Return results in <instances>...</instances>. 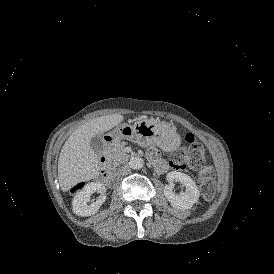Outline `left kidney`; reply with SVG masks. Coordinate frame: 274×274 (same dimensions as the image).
Segmentation results:
<instances>
[{
	"label": "left kidney",
	"instance_id": "left-kidney-1",
	"mask_svg": "<svg viewBox=\"0 0 274 274\" xmlns=\"http://www.w3.org/2000/svg\"><path fill=\"white\" fill-rule=\"evenodd\" d=\"M166 180L169 184L165 185L164 194L175 208L184 210L190 208L198 201L199 190L189 175L178 171H171L166 174ZM174 181L181 182L185 187V191L176 194L172 189Z\"/></svg>",
	"mask_w": 274,
	"mask_h": 274
}]
</instances>
